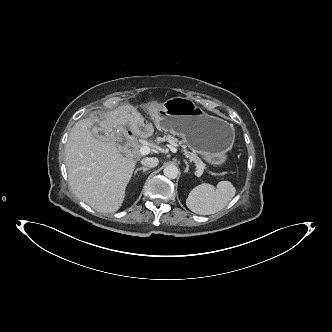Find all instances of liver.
<instances>
[{
    "label": "liver",
    "instance_id": "liver-1",
    "mask_svg": "<svg viewBox=\"0 0 332 332\" xmlns=\"http://www.w3.org/2000/svg\"><path fill=\"white\" fill-rule=\"evenodd\" d=\"M115 115L107 113L100 122L109 136L122 121ZM95 122L93 118L80 120L69 134L65 147L69 185L94 210L114 213L123 204L136 161L123 156L112 142L95 138L91 131Z\"/></svg>",
    "mask_w": 332,
    "mask_h": 332
}]
</instances>
